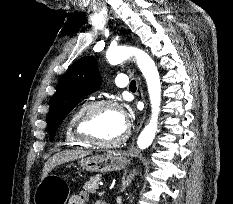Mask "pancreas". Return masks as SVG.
I'll list each match as a JSON object with an SVG mask.
<instances>
[{
  "label": "pancreas",
  "mask_w": 233,
  "mask_h": 204,
  "mask_svg": "<svg viewBox=\"0 0 233 204\" xmlns=\"http://www.w3.org/2000/svg\"><path fill=\"white\" fill-rule=\"evenodd\" d=\"M101 175H95L85 182L83 189L90 193H96L99 189V182L101 181Z\"/></svg>",
  "instance_id": "obj_1"
}]
</instances>
